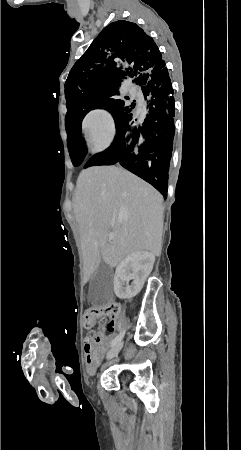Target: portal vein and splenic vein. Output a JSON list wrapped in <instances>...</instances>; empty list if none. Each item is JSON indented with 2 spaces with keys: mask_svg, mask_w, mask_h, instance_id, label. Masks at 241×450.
<instances>
[{
  "mask_svg": "<svg viewBox=\"0 0 241 450\" xmlns=\"http://www.w3.org/2000/svg\"><path fill=\"white\" fill-rule=\"evenodd\" d=\"M113 238H114V234H113V232H110V234H109V240H113Z\"/></svg>",
  "mask_w": 241,
  "mask_h": 450,
  "instance_id": "portal-vein-and-splenic-vein-1",
  "label": "portal vein and splenic vein"
}]
</instances>
